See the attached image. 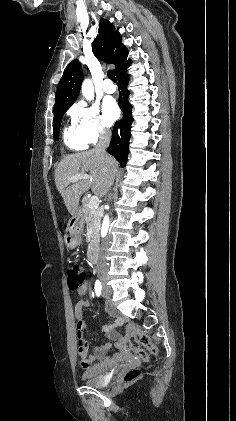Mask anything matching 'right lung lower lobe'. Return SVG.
Wrapping results in <instances>:
<instances>
[{
  "label": "right lung lower lobe",
  "instance_id": "1",
  "mask_svg": "<svg viewBox=\"0 0 236 421\" xmlns=\"http://www.w3.org/2000/svg\"><path fill=\"white\" fill-rule=\"evenodd\" d=\"M131 63L129 61L116 73L119 89V106L123 111V118L117 121L112 131V139L108 148V153L113 155L120 166L124 167L129 153V139L131 137L130 129L133 122L132 105L128 102L129 91L126 89L128 83V74L126 69Z\"/></svg>",
  "mask_w": 236,
  "mask_h": 421
}]
</instances>
